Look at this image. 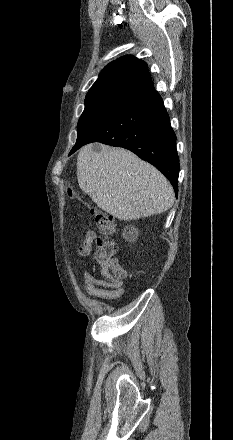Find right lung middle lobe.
I'll use <instances>...</instances> for the list:
<instances>
[{"label": "right lung middle lobe", "instance_id": "1", "mask_svg": "<svg viewBox=\"0 0 233 440\" xmlns=\"http://www.w3.org/2000/svg\"><path fill=\"white\" fill-rule=\"evenodd\" d=\"M124 103L113 101L86 102L77 125V141L83 140L94 130L124 107Z\"/></svg>", "mask_w": 233, "mask_h": 440}]
</instances>
